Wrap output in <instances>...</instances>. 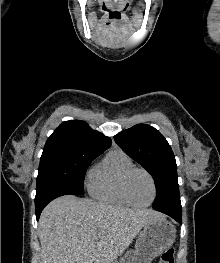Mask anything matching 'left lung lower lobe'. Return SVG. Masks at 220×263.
<instances>
[{"instance_id":"obj_1","label":"left lung lower lobe","mask_w":220,"mask_h":263,"mask_svg":"<svg viewBox=\"0 0 220 263\" xmlns=\"http://www.w3.org/2000/svg\"><path fill=\"white\" fill-rule=\"evenodd\" d=\"M160 212H163V213L171 216L172 218H174L179 223L182 222V211H178V210H164V211H160Z\"/></svg>"}]
</instances>
